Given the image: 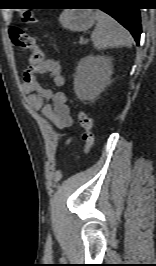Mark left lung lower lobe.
I'll return each instance as SVG.
<instances>
[{
    "label": "left lung lower lobe",
    "mask_w": 156,
    "mask_h": 266,
    "mask_svg": "<svg viewBox=\"0 0 156 266\" xmlns=\"http://www.w3.org/2000/svg\"><path fill=\"white\" fill-rule=\"evenodd\" d=\"M118 3V0H104L101 2H88L82 4H88L93 6H105L104 8H101V10L112 16L126 29H128L134 37L136 43L139 44L141 34V17L139 8L131 7L130 2L128 1L123 6H120V4Z\"/></svg>",
    "instance_id": "left-lung-lower-lobe-1"
}]
</instances>
